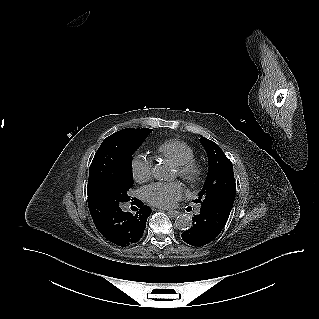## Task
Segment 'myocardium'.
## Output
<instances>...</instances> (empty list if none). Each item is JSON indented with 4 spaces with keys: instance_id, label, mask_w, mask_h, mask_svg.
<instances>
[{
    "instance_id": "f54148a6",
    "label": "myocardium",
    "mask_w": 319,
    "mask_h": 319,
    "mask_svg": "<svg viewBox=\"0 0 319 319\" xmlns=\"http://www.w3.org/2000/svg\"><path fill=\"white\" fill-rule=\"evenodd\" d=\"M177 170L180 178H182L188 184L197 183L203 173L202 166L193 160L185 164L178 165Z\"/></svg>"
}]
</instances>
